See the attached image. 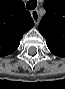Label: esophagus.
Segmentation results:
<instances>
[{
    "mask_svg": "<svg viewBox=\"0 0 65 89\" xmlns=\"http://www.w3.org/2000/svg\"><path fill=\"white\" fill-rule=\"evenodd\" d=\"M31 16H32L35 24H38L39 23V20H40L38 10H32L31 11Z\"/></svg>",
    "mask_w": 65,
    "mask_h": 89,
    "instance_id": "esophagus-1",
    "label": "esophagus"
}]
</instances>
